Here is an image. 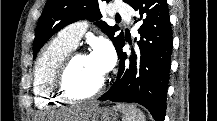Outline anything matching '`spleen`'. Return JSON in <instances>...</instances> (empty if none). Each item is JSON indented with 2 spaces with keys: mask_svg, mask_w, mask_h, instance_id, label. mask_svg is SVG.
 I'll list each match as a JSON object with an SVG mask.
<instances>
[{
  "mask_svg": "<svg viewBox=\"0 0 217 121\" xmlns=\"http://www.w3.org/2000/svg\"><path fill=\"white\" fill-rule=\"evenodd\" d=\"M115 111H120L123 114V121H145L143 113L134 105L117 104L114 106Z\"/></svg>",
  "mask_w": 217,
  "mask_h": 121,
  "instance_id": "3e777b00",
  "label": "spleen"
}]
</instances>
